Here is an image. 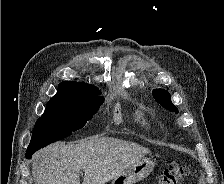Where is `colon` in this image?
I'll return each instance as SVG.
<instances>
[{"mask_svg": "<svg viewBox=\"0 0 224 184\" xmlns=\"http://www.w3.org/2000/svg\"><path fill=\"white\" fill-rule=\"evenodd\" d=\"M188 172L186 165L172 163L159 177L158 184H183Z\"/></svg>", "mask_w": 224, "mask_h": 184, "instance_id": "1", "label": "colon"}]
</instances>
